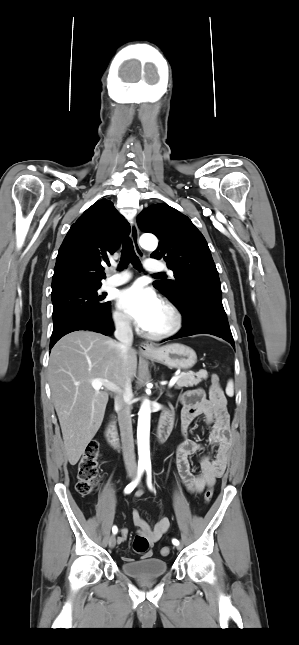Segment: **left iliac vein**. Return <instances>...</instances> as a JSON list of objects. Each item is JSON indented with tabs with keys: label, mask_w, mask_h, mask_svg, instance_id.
Wrapping results in <instances>:
<instances>
[{
	"label": "left iliac vein",
	"mask_w": 299,
	"mask_h": 645,
	"mask_svg": "<svg viewBox=\"0 0 299 645\" xmlns=\"http://www.w3.org/2000/svg\"><path fill=\"white\" fill-rule=\"evenodd\" d=\"M176 548H177L178 550H181L182 546L178 544V545H176Z\"/></svg>",
	"instance_id": "4c4485c4"
}]
</instances>
